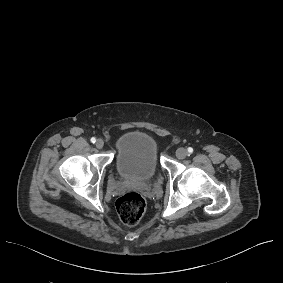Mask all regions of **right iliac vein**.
<instances>
[{"label": "right iliac vein", "mask_w": 283, "mask_h": 283, "mask_svg": "<svg viewBox=\"0 0 283 283\" xmlns=\"http://www.w3.org/2000/svg\"><path fill=\"white\" fill-rule=\"evenodd\" d=\"M95 145L98 149H101L104 146V141L102 139H98Z\"/></svg>", "instance_id": "right-iliac-vein-1"}]
</instances>
